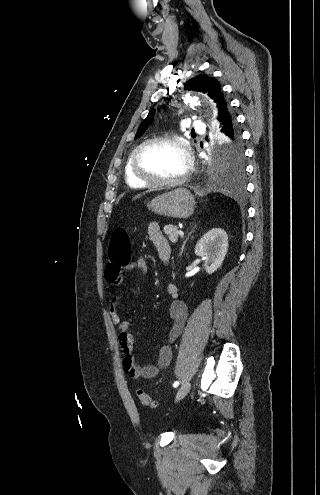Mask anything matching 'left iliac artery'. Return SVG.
<instances>
[{
  "instance_id": "44dca946",
  "label": "left iliac artery",
  "mask_w": 320,
  "mask_h": 495,
  "mask_svg": "<svg viewBox=\"0 0 320 495\" xmlns=\"http://www.w3.org/2000/svg\"><path fill=\"white\" fill-rule=\"evenodd\" d=\"M178 385H179L178 381L174 382V384H173L174 387H177Z\"/></svg>"
}]
</instances>
